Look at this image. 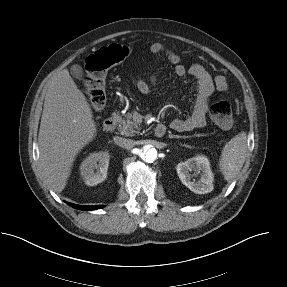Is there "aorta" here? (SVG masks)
Returning <instances> with one entry per match:
<instances>
[{"label":"aorta","instance_id":"1","mask_svg":"<svg viewBox=\"0 0 287 287\" xmlns=\"http://www.w3.org/2000/svg\"><path fill=\"white\" fill-rule=\"evenodd\" d=\"M157 150L151 145H145L141 148V158L147 162L152 163L157 159Z\"/></svg>","mask_w":287,"mask_h":287}]
</instances>
